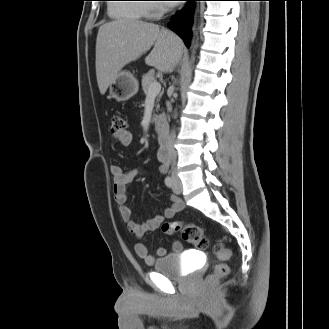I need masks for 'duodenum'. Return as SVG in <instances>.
Masks as SVG:
<instances>
[{
    "instance_id": "duodenum-1",
    "label": "duodenum",
    "mask_w": 329,
    "mask_h": 329,
    "mask_svg": "<svg viewBox=\"0 0 329 329\" xmlns=\"http://www.w3.org/2000/svg\"><path fill=\"white\" fill-rule=\"evenodd\" d=\"M153 129L159 138V140L163 143L167 142V124L164 116H158L154 119L152 123Z\"/></svg>"
}]
</instances>
